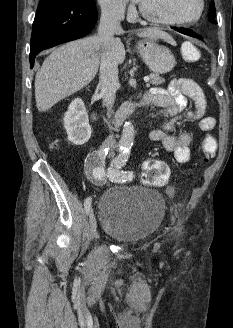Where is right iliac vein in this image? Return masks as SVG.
<instances>
[{
    "mask_svg": "<svg viewBox=\"0 0 233 328\" xmlns=\"http://www.w3.org/2000/svg\"><path fill=\"white\" fill-rule=\"evenodd\" d=\"M89 223H90L91 236L94 237V235L96 233V229H97V222H96V218H95L92 210H90V213H89Z\"/></svg>",
    "mask_w": 233,
    "mask_h": 328,
    "instance_id": "right-iliac-vein-1",
    "label": "right iliac vein"
}]
</instances>
